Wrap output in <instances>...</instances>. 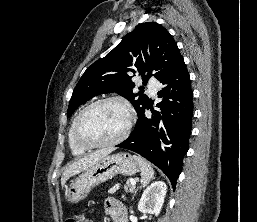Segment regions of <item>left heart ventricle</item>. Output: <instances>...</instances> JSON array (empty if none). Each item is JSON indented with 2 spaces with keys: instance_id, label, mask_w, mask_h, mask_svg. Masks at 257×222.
I'll return each instance as SVG.
<instances>
[{
  "instance_id": "1",
  "label": "left heart ventricle",
  "mask_w": 257,
  "mask_h": 222,
  "mask_svg": "<svg viewBox=\"0 0 257 222\" xmlns=\"http://www.w3.org/2000/svg\"><path fill=\"white\" fill-rule=\"evenodd\" d=\"M127 114L124 107L110 102L93 108L80 125V135L90 142H105L116 138L125 128Z\"/></svg>"
}]
</instances>
